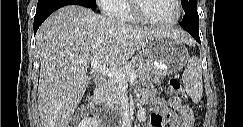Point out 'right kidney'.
I'll use <instances>...</instances> for the list:
<instances>
[{
	"label": "right kidney",
	"instance_id": "right-kidney-1",
	"mask_svg": "<svg viewBox=\"0 0 243 127\" xmlns=\"http://www.w3.org/2000/svg\"><path fill=\"white\" fill-rule=\"evenodd\" d=\"M78 127H98V121L96 118L84 117L80 122Z\"/></svg>",
	"mask_w": 243,
	"mask_h": 127
}]
</instances>
